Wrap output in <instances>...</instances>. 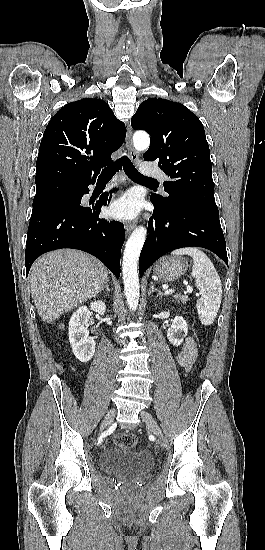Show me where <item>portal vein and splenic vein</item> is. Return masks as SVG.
I'll use <instances>...</instances> for the list:
<instances>
[{"label":"portal vein and splenic vein","mask_w":265,"mask_h":550,"mask_svg":"<svg viewBox=\"0 0 265 550\" xmlns=\"http://www.w3.org/2000/svg\"><path fill=\"white\" fill-rule=\"evenodd\" d=\"M173 292H174V290H167V291H165L164 295H169ZM187 292H189V293L192 292V287H190L189 285H187Z\"/></svg>","instance_id":"18ae733b"}]
</instances>
